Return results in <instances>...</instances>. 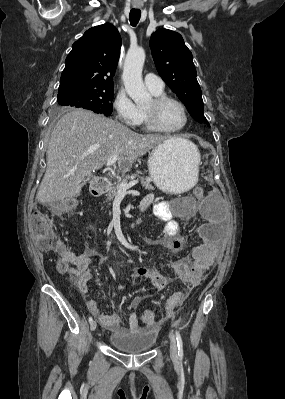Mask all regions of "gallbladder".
Returning a JSON list of instances; mask_svg holds the SVG:
<instances>
[{"label": "gallbladder", "instance_id": "obj_1", "mask_svg": "<svg viewBox=\"0 0 285 399\" xmlns=\"http://www.w3.org/2000/svg\"><path fill=\"white\" fill-rule=\"evenodd\" d=\"M90 179H91V176H88V177H87V180H90Z\"/></svg>", "mask_w": 285, "mask_h": 399}]
</instances>
